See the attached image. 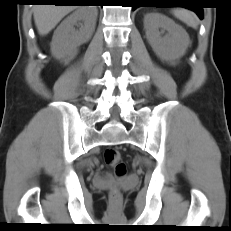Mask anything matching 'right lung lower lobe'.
Segmentation results:
<instances>
[{"label": "right lung lower lobe", "mask_w": 231, "mask_h": 231, "mask_svg": "<svg viewBox=\"0 0 231 231\" xmlns=\"http://www.w3.org/2000/svg\"><path fill=\"white\" fill-rule=\"evenodd\" d=\"M77 1L80 0H35V2L38 3H52L55 5H66V4L75 5L76 3H78Z\"/></svg>", "instance_id": "98d812e1"}]
</instances>
